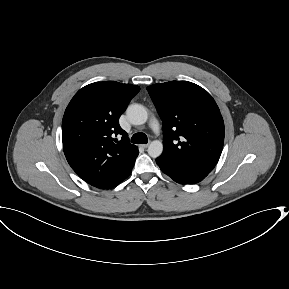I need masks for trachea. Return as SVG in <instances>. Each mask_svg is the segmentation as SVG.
Wrapping results in <instances>:
<instances>
[{
  "label": "trachea",
  "instance_id": "3493384b",
  "mask_svg": "<svg viewBox=\"0 0 289 289\" xmlns=\"http://www.w3.org/2000/svg\"><path fill=\"white\" fill-rule=\"evenodd\" d=\"M131 142L135 144H147L148 138L144 133H135L132 138Z\"/></svg>",
  "mask_w": 289,
  "mask_h": 289
}]
</instances>
